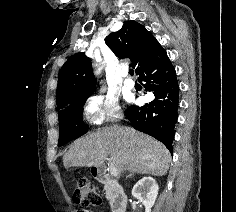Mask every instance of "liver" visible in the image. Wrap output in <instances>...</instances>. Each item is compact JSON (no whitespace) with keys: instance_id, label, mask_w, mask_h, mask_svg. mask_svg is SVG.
Here are the masks:
<instances>
[{"instance_id":"6515ba94","label":"liver","mask_w":236,"mask_h":212,"mask_svg":"<svg viewBox=\"0 0 236 212\" xmlns=\"http://www.w3.org/2000/svg\"><path fill=\"white\" fill-rule=\"evenodd\" d=\"M110 156L118 172L129 171L163 176L169 169L171 155L156 139L130 127H104L74 141L63 157L70 167H101Z\"/></svg>"}]
</instances>
